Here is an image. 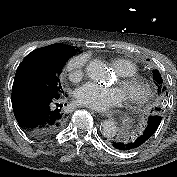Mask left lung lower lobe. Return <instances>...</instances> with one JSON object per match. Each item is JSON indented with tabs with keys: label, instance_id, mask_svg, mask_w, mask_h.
<instances>
[{
	"label": "left lung lower lobe",
	"instance_id": "0a47b994",
	"mask_svg": "<svg viewBox=\"0 0 177 177\" xmlns=\"http://www.w3.org/2000/svg\"><path fill=\"white\" fill-rule=\"evenodd\" d=\"M162 117L158 113H152L148 118L145 130L136 138H118L112 142L114 148L121 151H129L142 146L156 131Z\"/></svg>",
	"mask_w": 177,
	"mask_h": 177
}]
</instances>
